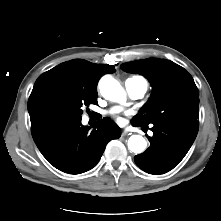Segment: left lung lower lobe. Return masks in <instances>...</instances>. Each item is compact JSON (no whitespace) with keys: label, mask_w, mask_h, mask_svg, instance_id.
Here are the masks:
<instances>
[{"label":"left lung lower lobe","mask_w":221,"mask_h":221,"mask_svg":"<svg viewBox=\"0 0 221 221\" xmlns=\"http://www.w3.org/2000/svg\"><path fill=\"white\" fill-rule=\"evenodd\" d=\"M134 126H143L133 121ZM147 127V126H145ZM154 133L148 137L151 146L135 156L137 166L149 174H163L172 170L186 155L193 144L198 125L163 121L153 123Z\"/></svg>","instance_id":"0a47b994"}]
</instances>
